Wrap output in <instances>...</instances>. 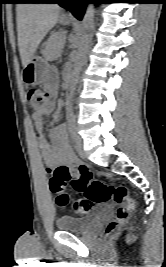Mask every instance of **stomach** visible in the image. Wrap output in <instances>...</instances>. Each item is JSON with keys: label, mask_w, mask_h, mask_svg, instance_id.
Returning <instances> with one entry per match:
<instances>
[{"label": "stomach", "mask_w": 166, "mask_h": 267, "mask_svg": "<svg viewBox=\"0 0 166 267\" xmlns=\"http://www.w3.org/2000/svg\"><path fill=\"white\" fill-rule=\"evenodd\" d=\"M62 24H68V19L60 18ZM48 64L45 59L33 56L22 70V79L26 85H39L46 82Z\"/></svg>", "instance_id": "stomach-1"}]
</instances>
